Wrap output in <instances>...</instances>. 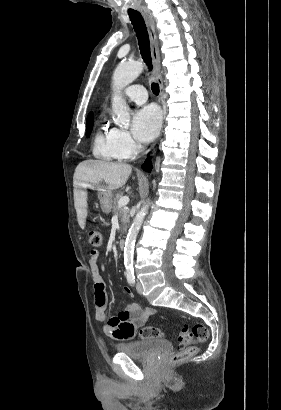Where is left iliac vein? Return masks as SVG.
Returning <instances> with one entry per match:
<instances>
[{"instance_id":"1","label":"left iliac vein","mask_w":281,"mask_h":410,"mask_svg":"<svg viewBox=\"0 0 281 410\" xmlns=\"http://www.w3.org/2000/svg\"><path fill=\"white\" fill-rule=\"evenodd\" d=\"M136 290H137V292L140 293V294L143 292L142 285H141V283H140L139 281H138L137 284H136Z\"/></svg>"}]
</instances>
